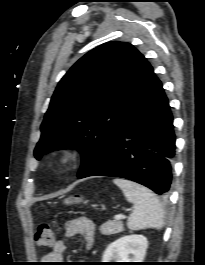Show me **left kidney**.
<instances>
[{"instance_id":"left-kidney-1","label":"left kidney","mask_w":205,"mask_h":265,"mask_svg":"<svg viewBox=\"0 0 205 265\" xmlns=\"http://www.w3.org/2000/svg\"><path fill=\"white\" fill-rule=\"evenodd\" d=\"M147 247L148 241L143 235L123 236L109 244L102 262H142Z\"/></svg>"}]
</instances>
